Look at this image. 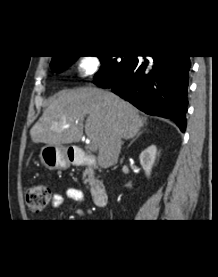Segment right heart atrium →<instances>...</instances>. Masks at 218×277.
Returning a JSON list of instances; mask_svg holds the SVG:
<instances>
[{
  "mask_svg": "<svg viewBox=\"0 0 218 277\" xmlns=\"http://www.w3.org/2000/svg\"><path fill=\"white\" fill-rule=\"evenodd\" d=\"M98 65L99 62L95 57H81L76 62V72L79 77L90 78L96 73Z\"/></svg>",
  "mask_w": 218,
  "mask_h": 277,
  "instance_id": "obj_1",
  "label": "right heart atrium"
}]
</instances>
